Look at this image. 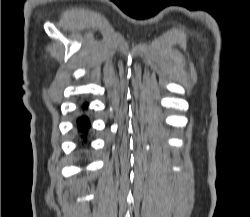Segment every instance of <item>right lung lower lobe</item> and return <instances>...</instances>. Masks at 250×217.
Here are the masks:
<instances>
[{
  "instance_id": "1",
  "label": "right lung lower lobe",
  "mask_w": 250,
  "mask_h": 217,
  "mask_svg": "<svg viewBox=\"0 0 250 217\" xmlns=\"http://www.w3.org/2000/svg\"><path fill=\"white\" fill-rule=\"evenodd\" d=\"M83 108H87V104H84ZM77 129L80 133V137L82 138L83 142H86L87 131L90 127L89 120L86 116H80L77 118Z\"/></svg>"
}]
</instances>
